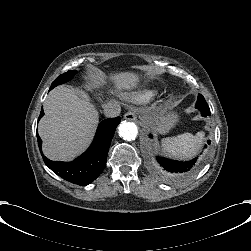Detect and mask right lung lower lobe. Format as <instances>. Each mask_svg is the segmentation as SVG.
<instances>
[{"label": "right lung lower lobe", "mask_w": 251, "mask_h": 251, "mask_svg": "<svg viewBox=\"0 0 251 251\" xmlns=\"http://www.w3.org/2000/svg\"><path fill=\"white\" fill-rule=\"evenodd\" d=\"M43 115L42 109L39 119ZM120 121V117L103 120L89 149L72 162H56L46 158L41 151L42 141L37 133L39 149L45 164L58 176L71 183L82 186L90 184L98 178L106 166L110 143Z\"/></svg>", "instance_id": "right-lung-lower-lobe-1"}]
</instances>
